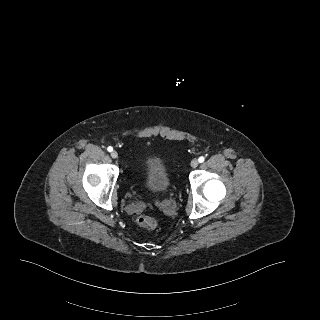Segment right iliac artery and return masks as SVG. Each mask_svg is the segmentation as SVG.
<instances>
[{
	"mask_svg": "<svg viewBox=\"0 0 320 320\" xmlns=\"http://www.w3.org/2000/svg\"><path fill=\"white\" fill-rule=\"evenodd\" d=\"M107 150H108L109 152H112V151H113V148H112L111 146H109V147L107 148Z\"/></svg>",
	"mask_w": 320,
	"mask_h": 320,
	"instance_id": "1",
	"label": "right iliac artery"
}]
</instances>
